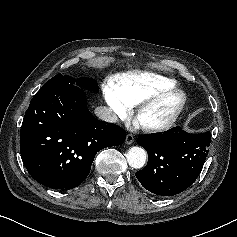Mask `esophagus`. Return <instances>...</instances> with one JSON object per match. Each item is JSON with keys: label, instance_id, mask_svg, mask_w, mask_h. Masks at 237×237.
<instances>
[{"label": "esophagus", "instance_id": "esophagus-1", "mask_svg": "<svg viewBox=\"0 0 237 237\" xmlns=\"http://www.w3.org/2000/svg\"><path fill=\"white\" fill-rule=\"evenodd\" d=\"M126 144L130 145L134 142V136L132 134H128L126 136V140H125Z\"/></svg>", "mask_w": 237, "mask_h": 237}]
</instances>
